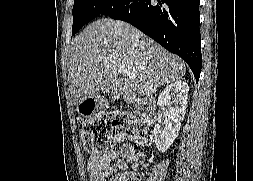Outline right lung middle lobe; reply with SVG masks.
<instances>
[{"label": "right lung middle lobe", "instance_id": "obj_1", "mask_svg": "<svg viewBox=\"0 0 253 181\" xmlns=\"http://www.w3.org/2000/svg\"><path fill=\"white\" fill-rule=\"evenodd\" d=\"M129 0H74L72 35L99 15H110Z\"/></svg>", "mask_w": 253, "mask_h": 181}]
</instances>
